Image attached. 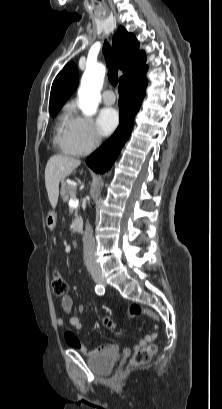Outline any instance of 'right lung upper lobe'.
Listing matches in <instances>:
<instances>
[{
	"mask_svg": "<svg viewBox=\"0 0 222 409\" xmlns=\"http://www.w3.org/2000/svg\"><path fill=\"white\" fill-rule=\"evenodd\" d=\"M113 49L119 68L124 72L120 83L144 74L147 71L144 51H139V42L132 33L120 26L113 36ZM78 85V71L74 63L67 64L55 78L50 94L49 110H60Z\"/></svg>",
	"mask_w": 222,
	"mask_h": 409,
	"instance_id": "right-lung-upper-lobe-1",
	"label": "right lung upper lobe"
}]
</instances>
